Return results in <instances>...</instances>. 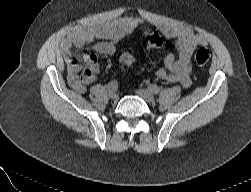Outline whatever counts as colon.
Wrapping results in <instances>:
<instances>
[{"mask_svg": "<svg viewBox=\"0 0 251 192\" xmlns=\"http://www.w3.org/2000/svg\"><path fill=\"white\" fill-rule=\"evenodd\" d=\"M144 43L149 48H157L162 45L163 40L160 34L152 32L145 36ZM209 59L210 52L206 48H200L194 54V60L199 66L205 65ZM134 60V53L131 50H124L120 56V62L123 69H129L133 65Z\"/></svg>", "mask_w": 251, "mask_h": 192, "instance_id": "colon-1", "label": "colon"}]
</instances>
